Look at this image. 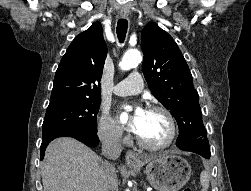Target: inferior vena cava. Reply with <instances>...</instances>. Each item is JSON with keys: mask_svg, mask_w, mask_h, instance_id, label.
Returning <instances> with one entry per match:
<instances>
[{"mask_svg": "<svg viewBox=\"0 0 251 191\" xmlns=\"http://www.w3.org/2000/svg\"><path fill=\"white\" fill-rule=\"evenodd\" d=\"M120 135V127H112L110 131H107V135H103L102 153L105 157H108V159H116V157H119L122 151V145L119 141ZM111 179L112 181H116L114 169L113 173H111Z\"/></svg>", "mask_w": 251, "mask_h": 191, "instance_id": "602c4592", "label": "inferior vena cava"}]
</instances>
